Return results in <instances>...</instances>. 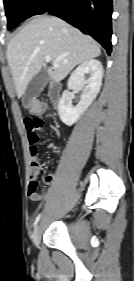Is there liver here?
Wrapping results in <instances>:
<instances>
[{
  "instance_id": "liver-1",
  "label": "liver",
  "mask_w": 134,
  "mask_h": 281,
  "mask_svg": "<svg viewBox=\"0 0 134 281\" xmlns=\"http://www.w3.org/2000/svg\"><path fill=\"white\" fill-rule=\"evenodd\" d=\"M100 45L90 36L65 21L39 15L10 40L7 61L18 98L25 93L32 78L41 70L45 57L60 59L57 68L48 69L49 77L59 82L78 64L98 57Z\"/></svg>"
}]
</instances>
